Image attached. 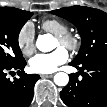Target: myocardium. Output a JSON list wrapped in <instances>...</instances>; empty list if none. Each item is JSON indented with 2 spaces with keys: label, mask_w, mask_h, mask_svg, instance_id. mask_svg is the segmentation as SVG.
I'll return each mask as SVG.
<instances>
[{
  "label": "myocardium",
  "mask_w": 107,
  "mask_h": 107,
  "mask_svg": "<svg viewBox=\"0 0 107 107\" xmlns=\"http://www.w3.org/2000/svg\"><path fill=\"white\" fill-rule=\"evenodd\" d=\"M56 40L58 41L60 47L66 49L71 53L77 52L81 45L80 38L78 37V35L69 31L57 35Z\"/></svg>",
  "instance_id": "f54148a6"
}]
</instances>
